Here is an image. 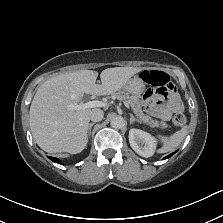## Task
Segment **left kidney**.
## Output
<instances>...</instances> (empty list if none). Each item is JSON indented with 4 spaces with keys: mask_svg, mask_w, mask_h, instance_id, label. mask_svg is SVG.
<instances>
[{
    "mask_svg": "<svg viewBox=\"0 0 223 223\" xmlns=\"http://www.w3.org/2000/svg\"><path fill=\"white\" fill-rule=\"evenodd\" d=\"M140 141L147 144V146H140ZM129 143L137 154L149 158L155 155L159 140L148 132L137 128H131L129 130Z\"/></svg>",
    "mask_w": 223,
    "mask_h": 223,
    "instance_id": "obj_1",
    "label": "left kidney"
}]
</instances>
